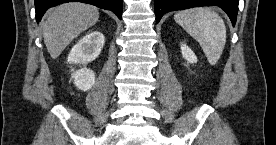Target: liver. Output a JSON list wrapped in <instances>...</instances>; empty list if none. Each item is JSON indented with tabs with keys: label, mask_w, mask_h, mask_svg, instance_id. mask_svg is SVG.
Segmentation results:
<instances>
[{
	"label": "liver",
	"mask_w": 276,
	"mask_h": 145,
	"mask_svg": "<svg viewBox=\"0 0 276 145\" xmlns=\"http://www.w3.org/2000/svg\"><path fill=\"white\" fill-rule=\"evenodd\" d=\"M99 19L98 8L81 2H69L50 8L42 21L43 38L53 59L82 32Z\"/></svg>",
	"instance_id": "liver-1"
}]
</instances>
